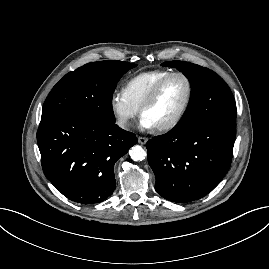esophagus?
I'll return each instance as SVG.
<instances>
[{
	"instance_id": "esophagus-1",
	"label": "esophagus",
	"mask_w": 269,
	"mask_h": 269,
	"mask_svg": "<svg viewBox=\"0 0 269 269\" xmlns=\"http://www.w3.org/2000/svg\"><path fill=\"white\" fill-rule=\"evenodd\" d=\"M147 141H148V139L145 138V137H138V142H139L141 145L146 144Z\"/></svg>"
}]
</instances>
